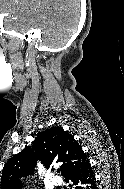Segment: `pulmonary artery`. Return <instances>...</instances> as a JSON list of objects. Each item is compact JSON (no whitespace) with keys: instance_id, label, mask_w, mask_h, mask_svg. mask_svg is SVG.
Instances as JSON below:
<instances>
[{"instance_id":"pulmonary-artery-1","label":"pulmonary artery","mask_w":124,"mask_h":189,"mask_svg":"<svg viewBox=\"0 0 124 189\" xmlns=\"http://www.w3.org/2000/svg\"><path fill=\"white\" fill-rule=\"evenodd\" d=\"M51 183L54 185V186H58V185H61V179L57 176H54L52 179H51Z\"/></svg>"}]
</instances>
